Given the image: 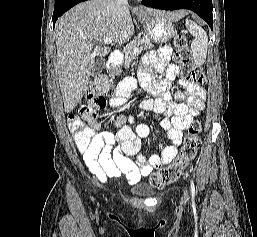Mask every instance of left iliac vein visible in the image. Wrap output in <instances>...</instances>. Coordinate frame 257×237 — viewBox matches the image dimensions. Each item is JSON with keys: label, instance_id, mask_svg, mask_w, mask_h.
<instances>
[{"label": "left iliac vein", "instance_id": "4c4485c4", "mask_svg": "<svg viewBox=\"0 0 257 237\" xmlns=\"http://www.w3.org/2000/svg\"><path fill=\"white\" fill-rule=\"evenodd\" d=\"M187 197H188V192H187V190L185 189V191H184V199H187Z\"/></svg>", "mask_w": 257, "mask_h": 237}]
</instances>
